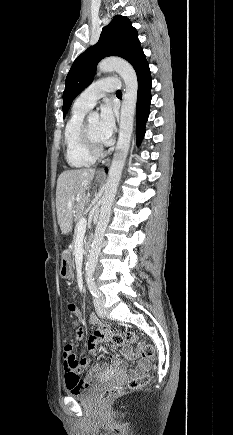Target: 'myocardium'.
I'll list each match as a JSON object with an SVG mask.
<instances>
[{
    "instance_id": "obj_1",
    "label": "myocardium",
    "mask_w": 233,
    "mask_h": 435,
    "mask_svg": "<svg viewBox=\"0 0 233 435\" xmlns=\"http://www.w3.org/2000/svg\"><path fill=\"white\" fill-rule=\"evenodd\" d=\"M81 137H82L84 147L91 157H93L94 159H98L106 154V150L104 146L96 145L93 142L92 137L90 135L88 120H84L82 123Z\"/></svg>"
}]
</instances>
